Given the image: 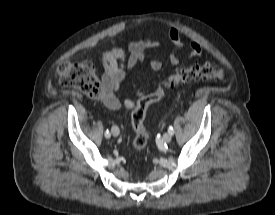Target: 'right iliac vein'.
Returning <instances> with one entry per match:
<instances>
[{
    "label": "right iliac vein",
    "mask_w": 275,
    "mask_h": 215,
    "mask_svg": "<svg viewBox=\"0 0 275 215\" xmlns=\"http://www.w3.org/2000/svg\"><path fill=\"white\" fill-rule=\"evenodd\" d=\"M111 133L113 136L117 137L120 133V130L117 126H113L112 129H111Z\"/></svg>",
    "instance_id": "right-iliac-vein-1"
}]
</instances>
